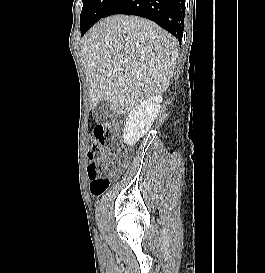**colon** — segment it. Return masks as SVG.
I'll use <instances>...</instances> for the list:
<instances>
[{
  "instance_id": "obj_1",
  "label": "colon",
  "mask_w": 265,
  "mask_h": 273,
  "mask_svg": "<svg viewBox=\"0 0 265 273\" xmlns=\"http://www.w3.org/2000/svg\"><path fill=\"white\" fill-rule=\"evenodd\" d=\"M119 125L115 122L100 124L94 128V141L89 151V158L92 160L87 167L88 176L91 179L90 190L93 195L100 196L109 187L110 181L107 178H96L99 170L97 161L104 154H117L120 151L117 136L119 134ZM127 157L123 156L119 159L117 166L124 167L127 165Z\"/></svg>"
}]
</instances>
